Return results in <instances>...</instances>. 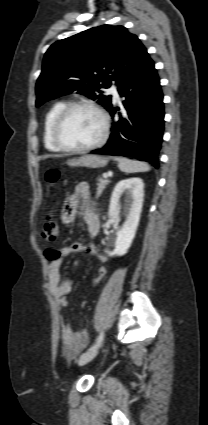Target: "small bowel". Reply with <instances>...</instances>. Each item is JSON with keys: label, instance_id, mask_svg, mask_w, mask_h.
<instances>
[{"label": "small bowel", "instance_id": "c3829d8e", "mask_svg": "<svg viewBox=\"0 0 208 425\" xmlns=\"http://www.w3.org/2000/svg\"><path fill=\"white\" fill-rule=\"evenodd\" d=\"M90 187L87 183L81 182L75 186L74 192L66 199L62 212V222L72 223L79 214L87 233L95 238L99 232V218L95 212L94 205L90 198ZM60 257L51 260L48 266V285L58 309L64 312L67 308L66 295L71 290V281L63 280L61 275V265L63 259L73 253L85 252L97 256L100 261L106 262L107 258L98 253L95 244H84L82 242H73L70 246L58 250ZM80 259H76L73 266H77ZM61 341L63 353L71 358L84 347L88 342V332L80 330L73 332L70 324L61 316Z\"/></svg>", "mask_w": 208, "mask_h": 425}]
</instances>
